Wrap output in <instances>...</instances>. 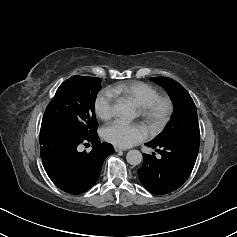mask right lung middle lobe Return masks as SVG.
Returning a JSON list of instances; mask_svg holds the SVG:
<instances>
[{
    "label": "right lung middle lobe",
    "mask_w": 237,
    "mask_h": 237,
    "mask_svg": "<svg viewBox=\"0 0 237 237\" xmlns=\"http://www.w3.org/2000/svg\"><path fill=\"white\" fill-rule=\"evenodd\" d=\"M100 83L99 78L77 75L64 81L47 106L41 127L61 129L75 137L95 133V100Z\"/></svg>",
    "instance_id": "1"
}]
</instances>
